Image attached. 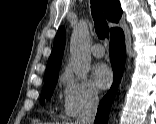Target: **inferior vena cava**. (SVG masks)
<instances>
[{"label": "inferior vena cava", "instance_id": "1", "mask_svg": "<svg viewBox=\"0 0 156 124\" xmlns=\"http://www.w3.org/2000/svg\"><path fill=\"white\" fill-rule=\"evenodd\" d=\"M99 99L95 94L90 95L83 104L75 124H93Z\"/></svg>", "mask_w": 156, "mask_h": 124}]
</instances>
